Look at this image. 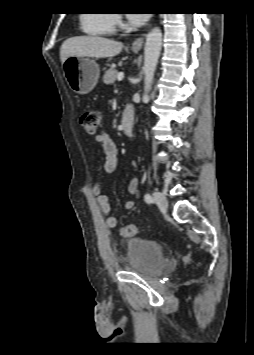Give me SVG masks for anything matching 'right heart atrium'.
<instances>
[{"mask_svg":"<svg viewBox=\"0 0 254 355\" xmlns=\"http://www.w3.org/2000/svg\"><path fill=\"white\" fill-rule=\"evenodd\" d=\"M111 21L114 26V29L121 25V18L120 15L117 13L111 14Z\"/></svg>","mask_w":254,"mask_h":355,"instance_id":"1","label":"right heart atrium"}]
</instances>
